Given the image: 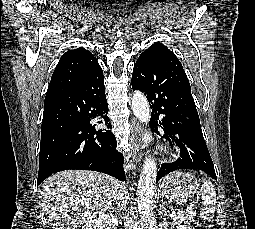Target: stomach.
Returning a JSON list of instances; mask_svg holds the SVG:
<instances>
[{"instance_id":"stomach-1","label":"stomach","mask_w":255,"mask_h":229,"mask_svg":"<svg viewBox=\"0 0 255 229\" xmlns=\"http://www.w3.org/2000/svg\"><path fill=\"white\" fill-rule=\"evenodd\" d=\"M198 187L199 183L193 174L175 171L162 179L159 191L162 196L184 202L195 195Z\"/></svg>"}]
</instances>
